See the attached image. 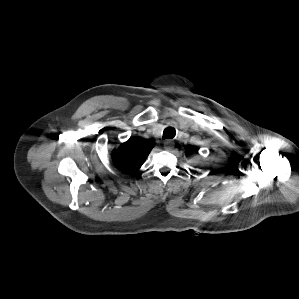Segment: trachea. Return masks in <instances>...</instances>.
Segmentation results:
<instances>
[{"label": "trachea", "instance_id": "trachea-1", "mask_svg": "<svg viewBox=\"0 0 299 299\" xmlns=\"http://www.w3.org/2000/svg\"><path fill=\"white\" fill-rule=\"evenodd\" d=\"M176 135V130L173 127H167L163 132V139H172Z\"/></svg>", "mask_w": 299, "mask_h": 299}]
</instances>
